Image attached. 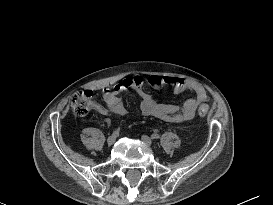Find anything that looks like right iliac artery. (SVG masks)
I'll return each instance as SVG.
<instances>
[{
	"instance_id": "82829eb1",
	"label": "right iliac artery",
	"mask_w": 273,
	"mask_h": 205,
	"mask_svg": "<svg viewBox=\"0 0 273 205\" xmlns=\"http://www.w3.org/2000/svg\"><path fill=\"white\" fill-rule=\"evenodd\" d=\"M113 135H115L116 137L119 135V129H117V130H115L114 132H113Z\"/></svg>"
}]
</instances>
